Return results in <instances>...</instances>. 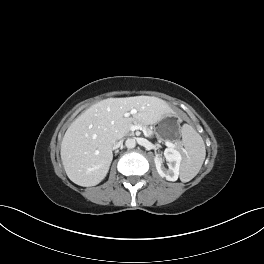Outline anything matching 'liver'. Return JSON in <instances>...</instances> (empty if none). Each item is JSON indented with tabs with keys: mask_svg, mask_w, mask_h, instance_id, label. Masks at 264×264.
Returning <instances> with one entry per match:
<instances>
[{
	"mask_svg": "<svg viewBox=\"0 0 264 264\" xmlns=\"http://www.w3.org/2000/svg\"><path fill=\"white\" fill-rule=\"evenodd\" d=\"M133 109V118L125 117ZM171 113L165 101L149 96L109 98L92 105L72 122L61 143L68 178L83 187L99 184L109 171L114 142L129 133L133 121L152 125Z\"/></svg>",
	"mask_w": 264,
	"mask_h": 264,
	"instance_id": "liver-1",
	"label": "liver"
}]
</instances>
